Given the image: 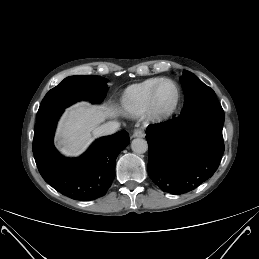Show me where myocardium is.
<instances>
[{"label": "myocardium", "instance_id": "1", "mask_svg": "<svg viewBox=\"0 0 259 259\" xmlns=\"http://www.w3.org/2000/svg\"><path fill=\"white\" fill-rule=\"evenodd\" d=\"M165 83H169L174 87L176 92V97L173 105L170 108L161 109L157 104V94L160 87ZM180 100H181V91L177 83L172 79L164 78L156 84V86L153 88L151 92L149 104L147 108L148 116L151 119L156 121H163V120L169 119L177 111Z\"/></svg>", "mask_w": 259, "mask_h": 259}]
</instances>
